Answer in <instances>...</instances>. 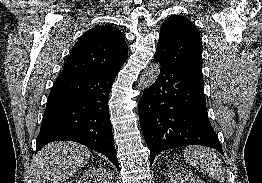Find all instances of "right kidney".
<instances>
[{"mask_svg":"<svg viewBox=\"0 0 262 183\" xmlns=\"http://www.w3.org/2000/svg\"><path fill=\"white\" fill-rule=\"evenodd\" d=\"M112 173L106 165H99L85 172L78 183H112Z\"/></svg>","mask_w":262,"mask_h":183,"instance_id":"1","label":"right kidney"}]
</instances>
